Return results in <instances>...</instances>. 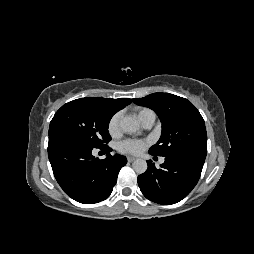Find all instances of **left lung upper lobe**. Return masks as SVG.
Listing matches in <instances>:
<instances>
[{
	"label": "left lung upper lobe",
	"mask_w": 254,
	"mask_h": 254,
	"mask_svg": "<svg viewBox=\"0 0 254 254\" xmlns=\"http://www.w3.org/2000/svg\"><path fill=\"white\" fill-rule=\"evenodd\" d=\"M133 102L155 111L162 123L161 138L149 149L150 153L164 157L194 153L206 157L205 122L190 101L169 93H153Z\"/></svg>",
	"instance_id": "1"
}]
</instances>
